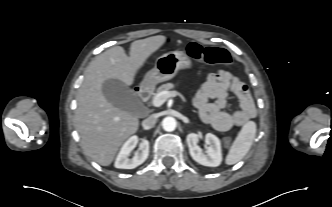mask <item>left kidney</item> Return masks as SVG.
<instances>
[{"instance_id":"5707ae66","label":"left kidney","mask_w":332,"mask_h":207,"mask_svg":"<svg viewBox=\"0 0 332 207\" xmlns=\"http://www.w3.org/2000/svg\"><path fill=\"white\" fill-rule=\"evenodd\" d=\"M200 135L190 133L187 135L186 141L189 147L191 157L199 164L209 167H216L221 164L222 152L221 144L218 137L208 133L205 136V143L208 145L206 152L198 146Z\"/></svg>"}]
</instances>
